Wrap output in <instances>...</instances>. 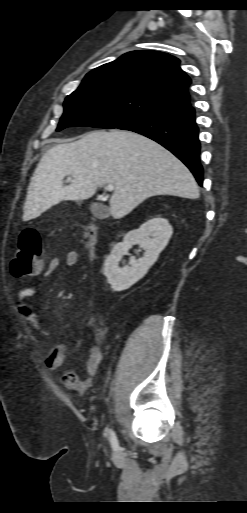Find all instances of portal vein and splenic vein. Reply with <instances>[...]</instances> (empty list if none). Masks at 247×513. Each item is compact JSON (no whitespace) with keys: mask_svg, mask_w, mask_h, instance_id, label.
<instances>
[{"mask_svg":"<svg viewBox=\"0 0 247 513\" xmlns=\"http://www.w3.org/2000/svg\"><path fill=\"white\" fill-rule=\"evenodd\" d=\"M106 190L108 191H112L114 189V185L113 184H108L106 187H105Z\"/></svg>","mask_w":247,"mask_h":513,"instance_id":"portal-vein-and-splenic-vein-1","label":"portal vein and splenic vein"}]
</instances>
